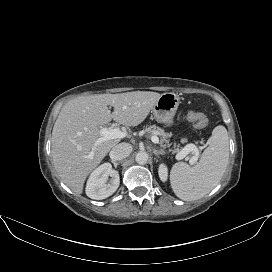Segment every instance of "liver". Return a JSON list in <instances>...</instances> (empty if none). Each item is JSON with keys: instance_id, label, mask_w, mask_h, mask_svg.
I'll use <instances>...</instances> for the list:
<instances>
[{"instance_id": "1", "label": "liver", "mask_w": 272, "mask_h": 272, "mask_svg": "<svg viewBox=\"0 0 272 272\" xmlns=\"http://www.w3.org/2000/svg\"><path fill=\"white\" fill-rule=\"evenodd\" d=\"M161 94L133 91L121 94L80 96L61 109L52 131L54 167L62 181L75 193L83 192L87 176L120 139L97 143L98 126L112 119L124 126H137L148 116ZM114 107V111L108 109Z\"/></svg>"}]
</instances>
